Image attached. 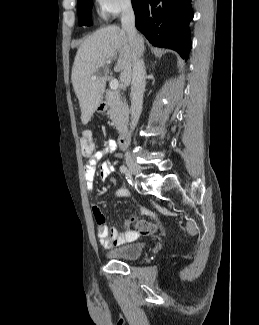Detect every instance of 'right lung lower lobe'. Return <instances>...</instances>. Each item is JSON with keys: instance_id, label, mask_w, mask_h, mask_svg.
I'll use <instances>...</instances> for the list:
<instances>
[{"instance_id": "obj_1", "label": "right lung lower lobe", "mask_w": 259, "mask_h": 325, "mask_svg": "<svg viewBox=\"0 0 259 325\" xmlns=\"http://www.w3.org/2000/svg\"><path fill=\"white\" fill-rule=\"evenodd\" d=\"M135 25L157 47H168L187 59L191 49V0H131Z\"/></svg>"}]
</instances>
